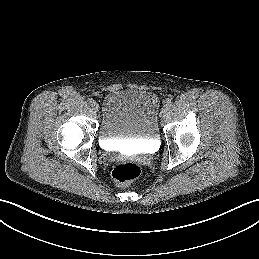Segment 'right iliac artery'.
<instances>
[{
  "mask_svg": "<svg viewBox=\"0 0 259 259\" xmlns=\"http://www.w3.org/2000/svg\"><path fill=\"white\" fill-rule=\"evenodd\" d=\"M88 103L92 105L94 103V100L92 98L88 99Z\"/></svg>",
  "mask_w": 259,
  "mask_h": 259,
  "instance_id": "right-iliac-artery-1",
  "label": "right iliac artery"
}]
</instances>
